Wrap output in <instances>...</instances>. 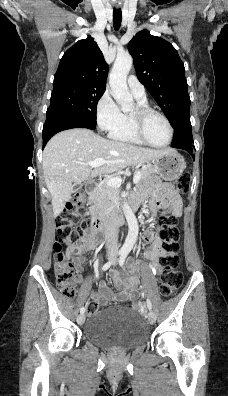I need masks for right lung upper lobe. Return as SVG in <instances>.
I'll use <instances>...</instances> for the list:
<instances>
[{"instance_id": "right-lung-upper-lobe-1", "label": "right lung upper lobe", "mask_w": 228, "mask_h": 396, "mask_svg": "<svg viewBox=\"0 0 228 396\" xmlns=\"http://www.w3.org/2000/svg\"><path fill=\"white\" fill-rule=\"evenodd\" d=\"M107 73L108 65L101 50L88 36L64 53L54 76V86L72 84L105 89Z\"/></svg>"}]
</instances>
